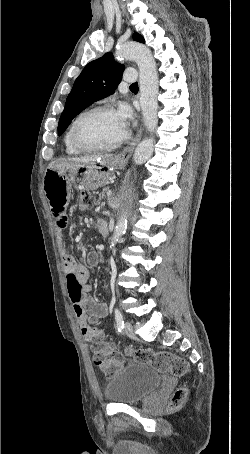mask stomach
<instances>
[{
  "instance_id": "0dacf381",
  "label": "stomach",
  "mask_w": 250,
  "mask_h": 454,
  "mask_svg": "<svg viewBox=\"0 0 250 454\" xmlns=\"http://www.w3.org/2000/svg\"><path fill=\"white\" fill-rule=\"evenodd\" d=\"M126 164L127 160L121 159L119 156L77 166L64 162H53L46 169L44 176H76V178H81L85 188L97 189L107 183L115 169H123ZM43 186L45 187L44 179Z\"/></svg>"
}]
</instances>
